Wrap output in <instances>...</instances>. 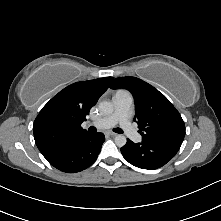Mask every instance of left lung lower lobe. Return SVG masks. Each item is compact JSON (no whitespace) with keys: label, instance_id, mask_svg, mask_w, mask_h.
<instances>
[{"label":"left lung lower lobe","instance_id":"left-lung-lower-lobe-1","mask_svg":"<svg viewBox=\"0 0 221 221\" xmlns=\"http://www.w3.org/2000/svg\"><path fill=\"white\" fill-rule=\"evenodd\" d=\"M180 147L168 144L133 143L127 139V143L121 148L123 157L132 165L142 169H157L169 162Z\"/></svg>","mask_w":221,"mask_h":221}]
</instances>
